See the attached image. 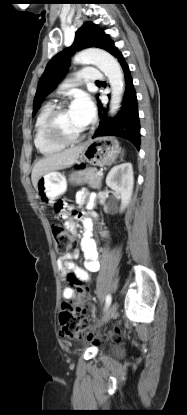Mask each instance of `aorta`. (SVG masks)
Returning a JSON list of instances; mask_svg holds the SVG:
<instances>
[{
  "label": "aorta",
  "instance_id": "1",
  "mask_svg": "<svg viewBox=\"0 0 187 415\" xmlns=\"http://www.w3.org/2000/svg\"><path fill=\"white\" fill-rule=\"evenodd\" d=\"M77 64H92L98 67L109 80L111 87L110 114L115 115L122 102L125 81L119 62L107 51L101 49H86L74 57Z\"/></svg>",
  "mask_w": 187,
  "mask_h": 415
}]
</instances>
